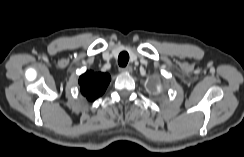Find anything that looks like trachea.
Wrapping results in <instances>:
<instances>
[{
    "mask_svg": "<svg viewBox=\"0 0 244 157\" xmlns=\"http://www.w3.org/2000/svg\"><path fill=\"white\" fill-rule=\"evenodd\" d=\"M129 61V54L127 52L120 53L118 57V64L121 67H125Z\"/></svg>",
    "mask_w": 244,
    "mask_h": 157,
    "instance_id": "trachea-1",
    "label": "trachea"
}]
</instances>
